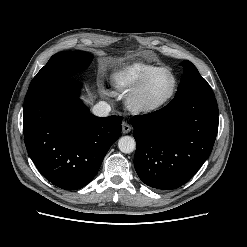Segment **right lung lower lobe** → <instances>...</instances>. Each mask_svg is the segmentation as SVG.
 <instances>
[{
	"instance_id": "right-lung-lower-lobe-1",
	"label": "right lung lower lobe",
	"mask_w": 247,
	"mask_h": 247,
	"mask_svg": "<svg viewBox=\"0 0 247 247\" xmlns=\"http://www.w3.org/2000/svg\"><path fill=\"white\" fill-rule=\"evenodd\" d=\"M80 87L74 79L54 80L29 88L24 100L28 154L48 181L66 190L87 185L121 135L122 117L90 114L77 98Z\"/></svg>"
}]
</instances>
